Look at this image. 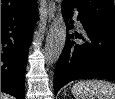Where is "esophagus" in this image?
<instances>
[{
  "instance_id": "esophagus-1",
  "label": "esophagus",
  "mask_w": 115,
  "mask_h": 99,
  "mask_svg": "<svg viewBox=\"0 0 115 99\" xmlns=\"http://www.w3.org/2000/svg\"><path fill=\"white\" fill-rule=\"evenodd\" d=\"M43 7L45 11V16L49 18V21L54 17L55 6L53 2L43 1Z\"/></svg>"
}]
</instances>
